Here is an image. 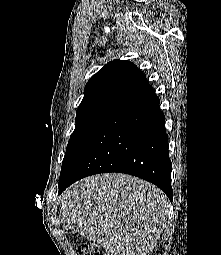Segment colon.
I'll return each mask as SVG.
<instances>
[{"label":"colon","instance_id":"5ec220e1","mask_svg":"<svg viewBox=\"0 0 221 255\" xmlns=\"http://www.w3.org/2000/svg\"><path fill=\"white\" fill-rule=\"evenodd\" d=\"M80 255H103V253L93 245L82 243L78 247Z\"/></svg>","mask_w":221,"mask_h":255}]
</instances>
